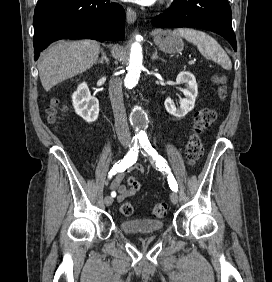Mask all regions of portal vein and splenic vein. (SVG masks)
<instances>
[{
  "label": "portal vein and splenic vein",
  "instance_id": "18ae733b",
  "mask_svg": "<svg viewBox=\"0 0 272 282\" xmlns=\"http://www.w3.org/2000/svg\"><path fill=\"white\" fill-rule=\"evenodd\" d=\"M195 61H196V59H191V60L189 61V64H194Z\"/></svg>",
  "mask_w": 272,
  "mask_h": 282
}]
</instances>
